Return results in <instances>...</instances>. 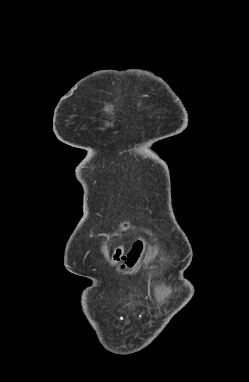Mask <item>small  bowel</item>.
Here are the masks:
<instances>
[{
  "instance_id": "c3829d8e",
  "label": "small bowel",
  "mask_w": 249,
  "mask_h": 382,
  "mask_svg": "<svg viewBox=\"0 0 249 382\" xmlns=\"http://www.w3.org/2000/svg\"><path fill=\"white\" fill-rule=\"evenodd\" d=\"M144 243L143 242H134L132 246V251L127 252L126 255L124 254L123 250L121 248H118L113 256V260L115 262L123 261L128 265H132L133 263H136L135 261H140L141 254L140 252L143 251Z\"/></svg>"
}]
</instances>
